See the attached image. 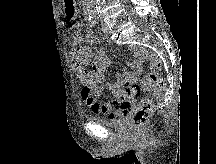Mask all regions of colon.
Listing matches in <instances>:
<instances>
[{
    "label": "colon",
    "instance_id": "obj_1",
    "mask_svg": "<svg viewBox=\"0 0 216 164\" xmlns=\"http://www.w3.org/2000/svg\"><path fill=\"white\" fill-rule=\"evenodd\" d=\"M145 58L151 71L143 76L138 83L125 84L121 92L122 99L127 100L134 97H140L152 90L159 92L164 88V80L159 78L155 73V71L161 68L159 58L152 52L146 53ZM152 109V102L149 99H142L133 114L132 124L137 128L143 127L148 121Z\"/></svg>",
    "mask_w": 216,
    "mask_h": 164
}]
</instances>
